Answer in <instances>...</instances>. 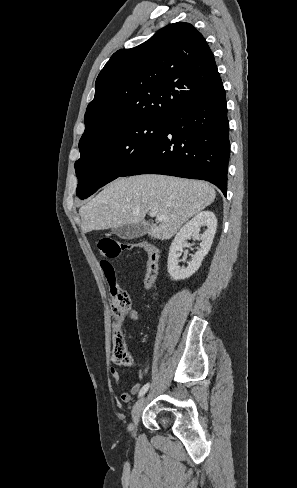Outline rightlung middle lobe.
<instances>
[{
	"instance_id": "dd1d6c3e",
	"label": "right lung middle lobe",
	"mask_w": 297,
	"mask_h": 488,
	"mask_svg": "<svg viewBox=\"0 0 297 488\" xmlns=\"http://www.w3.org/2000/svg\"><path fill=\"white\" fill-rule=\"evenodd\" d=\"M168 119H145L120 127L80 148L76 195L84 199L121 176L158 139ZM81 146V142H80Z\"/></svg>"
}]
</instances>
